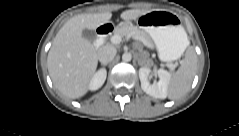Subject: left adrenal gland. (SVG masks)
Masks as SVG:
<instances>
[{
    "instance_id": "left-adrenal-gland-1",
    "label": "left adrenal gland",
    "mask_w": 239,
    "mask_h": 136,
    "mask_svg": "<svg viewBox=\"0 0 239 136\" xmlns=\"http://www.w3.org/2000/svg\"><path fill=\"white\" fill-rule=\"evenodd\" d=\"M138 64H139V65H142V60H141V58L138 59Z\"/></svg>"
}]
</instances>
